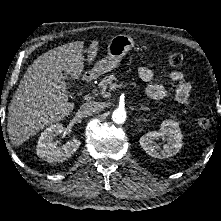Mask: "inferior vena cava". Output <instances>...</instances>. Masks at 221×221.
I'll use <instances>...</instances> for the list:
<instances>
[{"label": "inferior vena cava", "instance_id": "inferior-vena-cava-1", "mask_svg": "<svg viewBox=\"0 0 221 221\" xmlns=\"http://www.w3.org/2000/svg\"><path fill=\"white\" fill-rule=\"evenodd\" d=\"M100 104L96 101L85 102L80 106L79 113L82 116H91L100 111Z\"/></svg>", "mask_w": 221, "mask_h": 221}]
</instances>
